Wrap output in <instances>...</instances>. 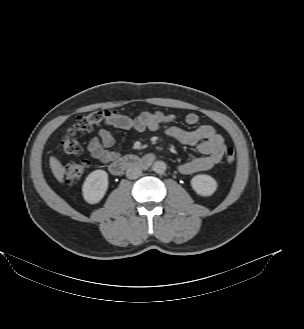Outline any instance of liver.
<instances>
[{
  "mask_svg": "<svg viewBox=\"0 0 304 329\" xmlns=\"http://www.w3.org/2000/svg\"><path fill=\"white\" fill-rule=\"evenodd\" d=\"M49 163H50V168L52 170V173H53L54 177L60 183H62L63 178H64V173H65V168L60 163V161L57 158H55L54 156L50 157Z\"/></svg>",
  "mask_w": 304,
  "mask_h": 329,
  "instance_id": "liver-1",
  "label": "liver"
}]
</instances>
